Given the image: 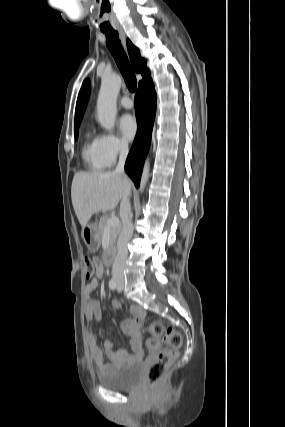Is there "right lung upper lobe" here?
I'll return each instance as SVG.
<instances>
[{
    "label": "right lung upper lobe",
    "mask_w": 285,
    "mask_h": 427,
    "mask_svg": "<svg viewBox=\"0 0 285 427\" xmlns=\"http://www.w3.org/2000/svg\"><path fill=\"white\" fill-rule=\"evenodd\" d=\"M127 48L128 53L130 56L131 63L137 73H141L143 76V81L150 77V71L146 67V60L142 59L140 56L139 50L131 43L129 39H127ZM142 81L139 82V84ZM90 94V82L89 80H85L83 82L82 88L79 92L77 104H76V111H75V126L74 128H78L80 125V122L82 120L88 98Z\"/></svg>",
    "instance_id": "cb5924a9"
}]
</instances>
